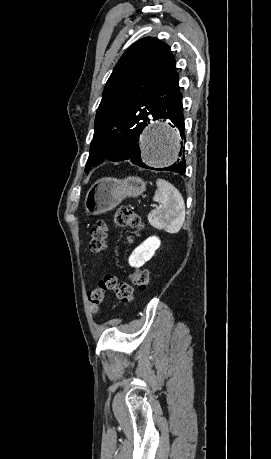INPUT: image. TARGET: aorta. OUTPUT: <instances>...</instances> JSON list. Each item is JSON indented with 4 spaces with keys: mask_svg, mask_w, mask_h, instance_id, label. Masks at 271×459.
Returning a JSON list of instances; mask_svg holds the SVG:
<instances>
[{
    "mask_svg": "<svg viewBox=\"0 0 271 459\" xmlns=\"http://www.w3.org/2000/svg\"><path fill=\"white\" fill-rule=\"evenodd\" d=\"M141 151L143 162L149 166L170 165L178 158V135L166 123L152 124L143 135Z\"/></svg>",
    "mask_w": 271,
    "mask_h": 459,
    "instance_id": "762f6f07",
    "label": "aorta"
}]
</instances>
